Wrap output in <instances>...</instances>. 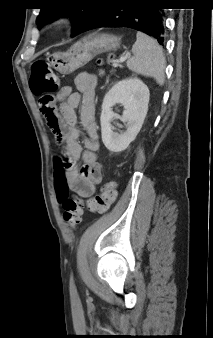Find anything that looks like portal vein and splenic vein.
Returning a JSON list of instances; mask_svg holds the SVG:
<instances>
[{"label":"portal vein and splenic vein","mask_w":213,"mask_h":338,"mask_svg":"<svg viewBox=\"0 0 213 338\" xmlns=\"http://www.w3.org/2000/svg\"><path fill=\"white\" fill-rule=\"evenodd\" d=\"M129 57H130V54H127V55L121 57V58L117 61V63H114V64H113V66H114V67L119 66L121 63H123L124 61H126Z\"/></svg>","instance_id":"1"}]
</instances>
